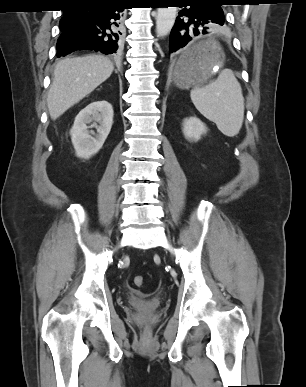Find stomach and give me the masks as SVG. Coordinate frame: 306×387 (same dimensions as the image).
I'll use <instances>...</instances> for the list:
<instances>
[{
	"label": "stomach",
	"mask_w": 306,
	"mask_h": 387,
	"mask_svg": "<svg viewBox=\"0 0 306 387\" xmlns=\"http://www.w3.org/2000/svg\"><path fill=\"white\" fill-rule=\"evenodd\" d=\"M193 50H200L201 54L182 63V58L190 55ZM224 60V52L216 42L211 39L198 42L176 62L173 70L174 83L181 89L206 83L214 75V68L222 67Z\"/></svg>",
	"instance_id": "obj_1"
}]
</instances>
